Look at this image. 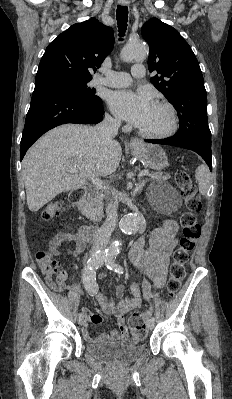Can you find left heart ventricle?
Returning <instances> with one entry per match:
<instances>
[{
	"mask_svg": "<svg viewBox=\"0 0 232 399\" xmlns=\"http://www.w3.org/2000/svg\"><path fill=\"white\" fill-rule=\"evenodd\" d=\"M170 123L169 111L165 107L153 104L149 115L137 129L146 134H159L166 131Z\"/></svg>",
	"mask_w": 232,
	"mask_h": 399,
	"instance_id": "left-heart-ventricle-1",
	"label": "left heart ventricle"
}]
</instances>
